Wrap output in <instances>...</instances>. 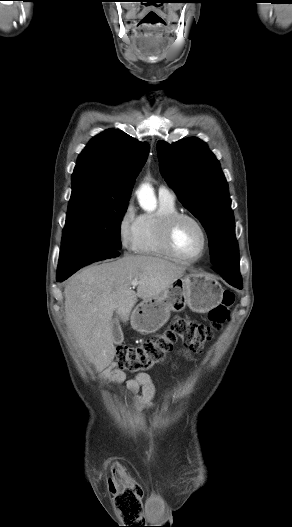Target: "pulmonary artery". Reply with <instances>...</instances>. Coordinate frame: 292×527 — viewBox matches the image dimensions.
I'll return each mask as SVG.
<instances>
[{
	"label": "pulmonary artery",
	"mask_w": 292,
	"mask_h": 527,
	"mask_svg": "<svg viewBox=\"0 0 292 527\" xmlns=\"http://www.w3.org/2000/svg\"><path fill=\"white\" fill-rule=\"evenodd\" d=\"M158 193H159V196H164V197H169V198L175 197L174 192L164 185H161L159 187Z\"/></svg>",
	"instance_id": "pulmonary-artery-1"
}]
</instances>
